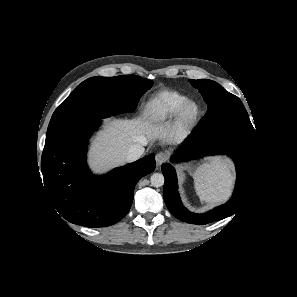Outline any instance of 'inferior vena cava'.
Masks as SVG:
<instances>
[{
    "mask_svg": "<svg viewBox=\"0 0 297 297\" xmlns=\"http://www.w3.org/2000/svg\"><path fill=\"white\" fill-rule=\"evenodd\" d=\"M141 143L132 145L127 152L126 159L131 162L139 159L144 153L145 149L143 145L147 144V139L144 136H141Z\"/></svg>",
    "mask_w": 297,
    "mask_h": 297,
    "instance_id": "602c4592",
    "label": "inferior vena cava"
}]
</instances>
